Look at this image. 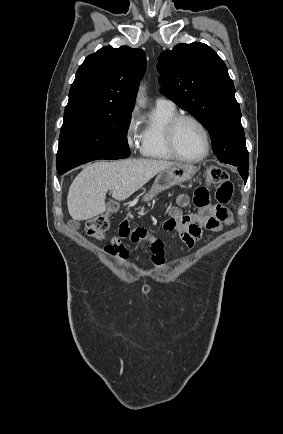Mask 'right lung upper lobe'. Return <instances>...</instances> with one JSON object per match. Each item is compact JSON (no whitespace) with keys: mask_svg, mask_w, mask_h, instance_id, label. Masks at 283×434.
Instances as JSON below:
<instances>
[{"mask_svg":"<svg viewBox=\"0 0 283 434\" xmlns=\"http://www.w3.org/2000/svg\"><path fill=\"white\" fill-rule=\"evenodd\" d=\"M146 70L142 49L106 46L86 57L69 91L64 119L131 113Z\"/></svg>","mask_w":283,"mask_h":434,"instance_id":"right-lung-upper-lobe-1","label":"right lung upper lobe"}]
</instances>
